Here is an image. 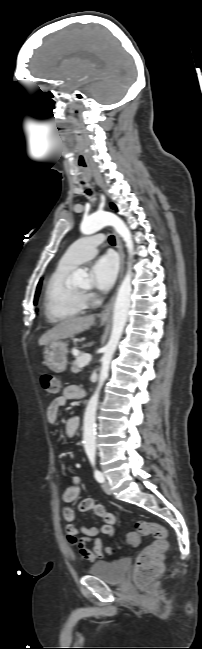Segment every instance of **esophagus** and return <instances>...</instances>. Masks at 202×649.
<instances>
[{
	"label": "esophagus",
	"mask_w": 202,
	"mask_h": 649,
	"mask_svg": "<svg viewBox=\"0 0 202 649\" xmlns=\"http://www.w3.org/2000/svg\"><path fill=\"white\" fill-rule=\"evenodd\" d=\"M115 238H116L117 249H118L119 256H120V269H121L120 270V277H121L122 272H123V265H124V253H123L122 242H121V240H120V238H119V236L117 234H115ZM114 300H115V295L112 296L109 303L105 306V308H104V310H103V312L101 314L102 319H108L110 317L111 311H112V308H113Z\"/></svg>",
	"instance_id": "esophagus-1"
}]
</instances>
